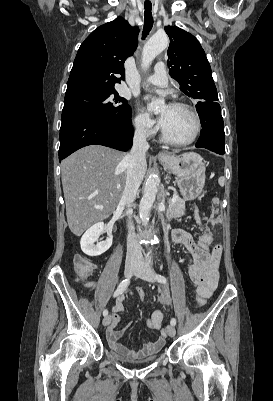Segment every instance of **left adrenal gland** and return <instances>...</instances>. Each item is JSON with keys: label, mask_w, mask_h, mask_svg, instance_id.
I'll return each mask as SVG.
<instances>
[{"label": "left adrenal gland", "mask_w": 273, "mask_h": 401, "mask_svg": "<svg viewBox=\"0 0 273 401\" xmlns=\"http://www.w3.org/2000/svg\"><path fill=\"white\" fill-rule=\"evenodd\" d=\"M161 196H162V203H164V196H166V192H164V190H163Z\"/></svg>", "instance_id": "a2214340"}]
</instances>
